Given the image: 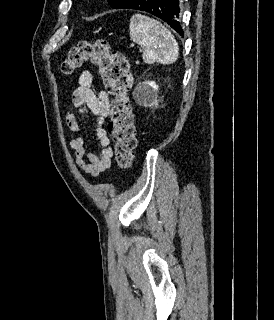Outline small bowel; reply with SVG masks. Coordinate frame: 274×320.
<instances>
[{"label": "small bowel", "instance_id": "1", "mask_svg": "<svg viewBox=\"0 0 274 320\" xmlns=\"http://www.w3.org/2000/svg\"><path fill=\"white\" fill-rule=\"evenodd\" d=\"M72 104L79 109L80 113L91 110L97 118L96 135L101 147L99 155L85 153L84 137L78 135L69 140V148L73 152L75 164L90 176H98L106 171L111 165L114 151L110 145L104 122L110 114V98L105 91H96L94 88V74L90 70H83L78 78V87L71 95ZM65 122L74 133L81 132V125L75 114L66 109Z\"/></svg>", "mask_w": 274, "mask_h": 320}]
</instances>
